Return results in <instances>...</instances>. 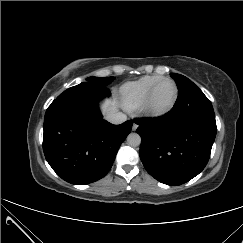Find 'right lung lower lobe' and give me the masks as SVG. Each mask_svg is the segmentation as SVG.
Returning a JSON list of instances; mask_svg holds the SVG:
<instances>
[{
    "label": "right lung lower lobe",
    "mask_w": 243,
    "mask_h": 243,
    "mask_svg": "<svg viewBox=\"0 0 243 243\" xmlns=\"http://www.w3.org/2000/svg\"><path fill=\"white\" fill-rule=\"evenodd\" d=\"M106 86L83 82L60 94L44 118L43 150L47 162L65 181L89 184L104 177L133 121L113 125L102 119L98 100Z\"/></svg>",
    "instance_id": "right-lung-lower-lobe-1"
}]
</instances>
